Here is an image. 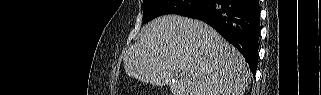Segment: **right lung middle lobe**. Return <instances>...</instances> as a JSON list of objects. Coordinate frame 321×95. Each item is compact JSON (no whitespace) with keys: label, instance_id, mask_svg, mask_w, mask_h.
Segmentation results:
<instances>
[{"label":"right lung middle lobe","instance_id":"right-lung-middle-lobe-1","mask_svg":"<svg viewBox=\"0 0 321 95\" xmlns=\"http://www.w3.org/2000/svg\"><path fill=\"white\" fill-rule=\"evenodd\" d=\"M207 0H143V22L166 14L187 16L198 11Z\"/></svg>","mask_w":321,"mask_h":95}]
</instances>
